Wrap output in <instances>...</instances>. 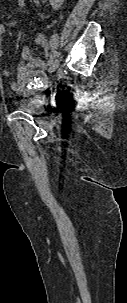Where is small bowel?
Returning <instances> with one entry per match:
<instances>
[{
    "label": "small bowel",
    "instance_id": "1",
    "mask_svg": "<svg viewBox=\"0 0 127 303\" xmlns=\"http://www.w3.org/2000/svg\"><path fill=\"white\" fill-rule=\"evenodd\" d=\"M18 5L25 11H28L27 0H18ZM7 32V27L0 23V62L4 57L2 48V39ZM37 41L44 50V56L34 57L29 48H23L20 55V62L17 66V79L11 81L10 89L16 93L31 94L34 87L46 83L45 70L47 68L46 58L50 55L51 45L44 34L37 36ZM6 77L10 76L7 70H4Z\"/></svg>",
    "mask_w": 127,
    "mask_h": 303
}]
</instances>
